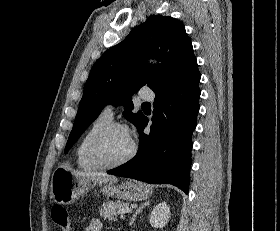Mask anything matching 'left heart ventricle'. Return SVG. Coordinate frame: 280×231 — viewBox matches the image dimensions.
I'll list each match as a JSON object with an SVG mask.
<instances>
[{
  "mask_svg": "<svg viewBox=\"0 0 280 231\" xmlns=\"http://www.w3.org/2000/svg\"><path fill=\"white\" fill-rule=\"evenodd\" d=\"M130 141L126 131L114 129L110 131L99 143L97 156L105 162H114L121 159L129 150Z\"/></svg>",
  "mask_w": 280,
  "mask_h": 231,
  "instance_id": "obj_1",
  "label": "left heart ventricle"
}]
</instances>
